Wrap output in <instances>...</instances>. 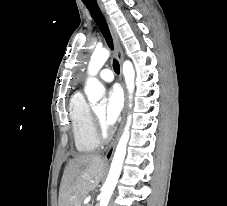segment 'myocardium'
Returning a JSON list of instances; mask_svg holds the SVG:
<instances>
[{
    "mask_svg": "<svg viewBox=\"0 0 227 206\" xmlns=\"http://www.w3.org/2000/svg\"><path fill=\"white\" fill-rule=\"evenodd\" d=\"M92 114H93L97 137L99 138V140L107 139L109 133L106 130V128L103 126L101 119L96 115V113H92Z\"/></svg>",
    "mask_w": 227,
    "mask_h": 206,
    "instance_id": "f54148a6",
    "label": "myocardium"
}]
</instances>
